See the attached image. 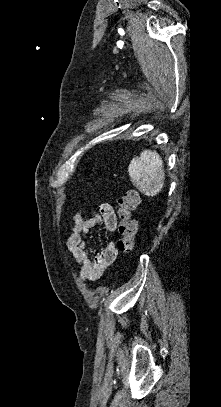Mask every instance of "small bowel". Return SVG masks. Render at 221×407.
I'll use <instances>...</instances> for the list:
<instances>
[{
    "label": "small bowel",
    "instance_id": "obj_1",
    "mask_svg": "<svg viewBox=\"0 0 221 407\" xmlns=\"http://www.w3.org/2000/svg\"><path fill=\"white\" fill-rule=\"evenodd\" d=\"M87 213L89 218L85 220L81 211L75 212L74 224L66 240L67 249L78 267V278L82 282L99 279L118 256L114 242H109L105 249L91 260L90 249L84 239L92 229L101 225L109 232L116 231L118 219L113 206L101 203L98 211L89 209Z\"/></svg>",
    "mask_w": 221,
    "mask_h": 407
}]
</instances>
